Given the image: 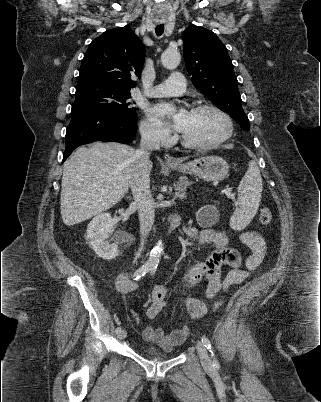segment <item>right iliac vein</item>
Masks as SVG:
<instances>
[{
	"instance_id": "1",
	"label": "right iliac vein",
	"mask_w": 321,
	"mask_h": 402,
	"mask_svg": "<svg viewBox=\"0 0 321 402\" xmlns=\"http://www.w3.org/2000/svg\"><path fill=\"white\" fill-rule=\"evenodd\" d=\"M126 336H127L126 330H122L120 333H118V339H119V340L125 339Z\"/></svg>"
}]
</instances>
